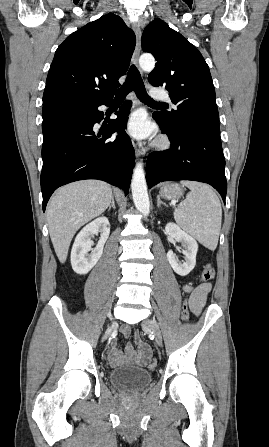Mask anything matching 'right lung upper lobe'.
Wrapping results in <instances>:
<instances>
[{
  "label": "right lung upper lobe",
  "instance_id": "cb5924a9",
  "mask_svg": "<svg viewBox=\"0 0 269 447\" xmlns=\"http://www.w3.org/2000/svg\"><path fill=\"white\" fill-rule=\"evenodd\" d=\"M136 38L113 13L72 33L56 50L47 76L43 105L108 96L126 74Z\"/></svg>",
  "mask_w": 269,
  "mask_h": 447
}]
</instances>
